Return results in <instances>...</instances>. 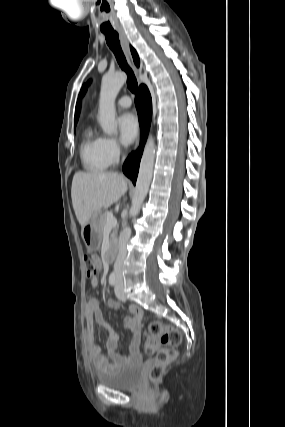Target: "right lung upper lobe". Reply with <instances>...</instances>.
<instances>
[{"label": "right lung upper lobe", "mask_w": 285, "mask_h": 427, "mask_svg": "<svg viewBox=\"0 0 285 427\" xmlns=\"http://www.w3.org/2000/svg\"><path fill=\"white\" fill-rule=\"evenodd\" d=\"M130 48H131V53H132V56H133V59H134V63H135L137 66H139L140 61H139L138 54H137V52L135 51V49H133L132 47H130ZM79 113H80V105H79V104H77V106H76V110H75V125H76V122H77V120H78Z\"/></svg>", "instance_id": "right-lung-upper-lobe-1"}]
</instances>
